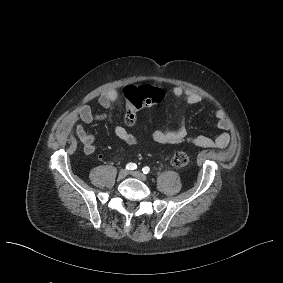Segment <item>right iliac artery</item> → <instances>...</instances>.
Segmentation results:
<instances>
[{
	"mask_svg": "<svg viewBox=\"0 0 283 283\" xmlns=\"http://www.w3.org/2000/svg\"><path fill=\"white\" fill-rule=\"evenodd\" d=\"M137 168V165L135 164V163H128L127 165H126V169L127 170H134V169H136Z\"/></svg>",
	"mask_w": 283,
	"mask_h": 283,
	"instance_id": "obj_1",
	"label": "right iliac artery"
}]
</instances>
